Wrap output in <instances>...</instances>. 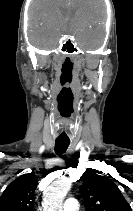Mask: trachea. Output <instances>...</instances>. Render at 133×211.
<instances>
[{"label":"trachea","mask_w":133,"mask_h":211,"mask_svg":"<svg viewBox=\"0 0 133 211\" xmlns=\"http://www.w3.org/2000/svg\"><path fill=\"white\" fill-rule=\"evenodd\" d=\"M69 141H60L56 140L55 141V152L57 155H61L66 152L68 146H69Z\"/></svg>","instance_id":"3493384b"}]
</instances>
